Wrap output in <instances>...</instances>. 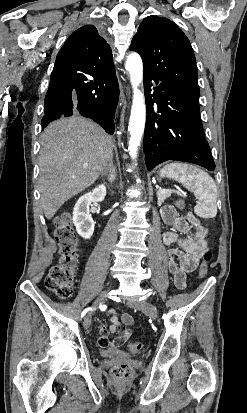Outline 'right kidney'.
I'll return each mask as SVG.
<instances>
[{"instance_id":"1","label":"right kidney","mask_w":247,"mask_h":413,"mask_svg":"<svg viewBox=\"0 0 247 413\" xmlns=\"http://www.w3.org/2000/svg\"><path fill=\"white\" fill-rule=\"evenodd\" d=\"M106 190L105 184H99V186L93 188L92 192H86V194L80 196L75 204L73 209V223L78 235L83 237V239H90L94 233V221L91 215H89L90 204L91 202L104 200Z\"/></svg>"}]
</instances>
